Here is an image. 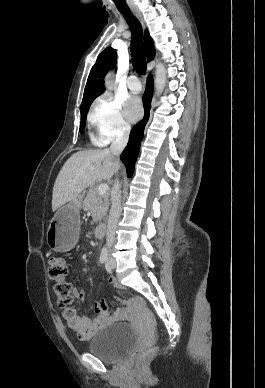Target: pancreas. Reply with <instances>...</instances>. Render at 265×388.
Returning a JSON list of instances; mask_svg holds the SVG:
<instances>
[{
	"label": "pancreas",
	"instance_id": "cf45deb5",
	"mask_svg": "<svg viewBox=\"0 0 265 388\" xmlns=\"http://www.w3.org/2000/svg\"><path fill=\"white\" fill-rule=\"evenodd\" d=\"M109 208V194H99L98 186L90 188L84 202L83 210L91 212L93 222H100L103 216H106Z\"/></svg>",
	"mask_w": 265,
	"mask_h": 388
}]
</instances>
